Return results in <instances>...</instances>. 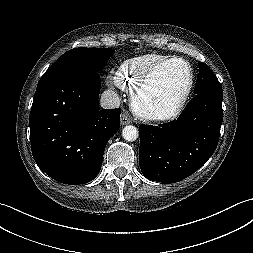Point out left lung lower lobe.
Masks as SVG:
<instances>
[{
    "mask_svg": "<svg viewBox=\"0 0 253 253\" xmlns=\"http://www.w3.org/2000/svg\"><path fill=\"white\" fill-rule=\"evenodd\" d=\"M223 94L203 92L187 104L177 120L140 125L139 164L143 175L162 183L181 181L214 153L223 121Z\"/></svg>",
    "mask_w": 253,
    "mask_h": 253,
    "instance_id": "left-lung-lower-lobe-1",
    "label": "left lung lower lobe"
}]
</instances>
